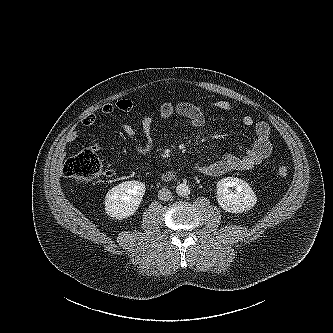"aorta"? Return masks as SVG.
<instances>
[{
	"label": "aorta",
	"mask_w": 333,
	"mask_h": 333,
	"mask_svg": "<svg viewBox=\"0 0 333 333\" xmlns=\"http://www.w3.org/2000/svg\"><path fill=\"white\" fill-rule=\"evenodd\" d=\"M176 193L178 196L186 197L190 194V188L186 183H181L177 185Z\"/></svg>",
	"instance_id": "1"
}]
</instances>
